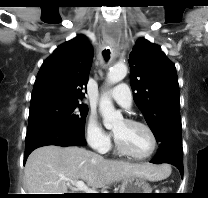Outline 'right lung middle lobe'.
<instances>
[{
  "instance_id": "right-lung-middle-lobe-1",
  "label": "right lung middle lobe",
  "mask_w": 208,
  "mask_h": 198,
  "mask_svg": "<svg viewBox=\"0 0 208 198\" xmlns=\"http://www.w3.org/2000/svg\"><path fill=\"white\" fill-rule=\"evenodd\" d=\"M88 108L79 101H53L30 107L27 133L47 126H63L84 136Z\"/></svg>"
}]
</instances>
